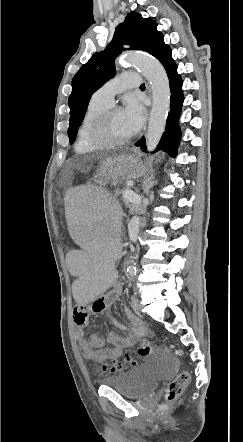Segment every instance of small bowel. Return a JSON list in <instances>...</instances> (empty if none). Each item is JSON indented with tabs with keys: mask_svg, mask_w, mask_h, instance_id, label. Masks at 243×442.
Returning a JSON list of instances; mask_svg holds the SVG:
<instances>
[{
	"mask_svg": "<svg viewBox=\"0 0 243 442\" xmlns=\"http://www.w3.org/2000/svg\"><path fill=\"white\" fill-rule=\"evenodd\" d=\"M120 287L115 286L114 291L110 294H106L102 299L93 303L91 311L94 314L101 313L106 307L113 304L120 294ZM87 307H81L80 303L74 309L73 318L77 326L76 337L79 343V347L84 357L94 362L107 361L110 357H119L124 349L131 348L135 345L137 339L141 337L145 328L141 320L131 312L130 309H126V316L131 324V331L124 336H120L116 333H109L104 340L100 335L94 334L87 338L85 334V326L88 323L89 313L86 310ZM111 323L114 327L127 330L124 323L117 319H111ZM107 343V345H105Z\"/></svg>",
	"mask_w": 243,
	"mask_h": 442,
	"instance_id": "small-bowel-1",
	"label": "small bowel"
}]
</instances>
